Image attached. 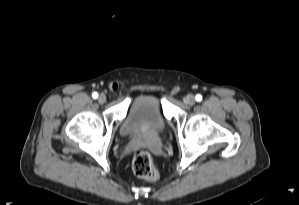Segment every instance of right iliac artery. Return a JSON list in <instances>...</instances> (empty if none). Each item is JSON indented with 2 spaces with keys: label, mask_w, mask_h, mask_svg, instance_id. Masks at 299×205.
Listing matches in <instances>:
<instances>
[{
  "label": "right iliac artery",
  "mask_w": 299,
  "mask_h": 205,
  "mask_svg": "<svg viewBox=\"0 0 299 205\" xmlns=\"http://www.w3.org/2000/svg\"><path fill=\"white\" fill-rule=\"evenodd\" d=\"M92 97H93L94 99H96V98L98 97V93H97V92H94V93L92 94Z\"/></svg>",
  "instance_id": "obj_1"
}]
</instances>
